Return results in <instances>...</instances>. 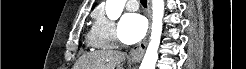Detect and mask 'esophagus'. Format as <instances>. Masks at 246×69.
Masks as SVG:
<instances>
[{
	"instance_id": "34e87169",
	"label": "esophagus",
	"mask_w": 246,
	"mask_h": 69,
	"mask_svg": "<svg viewBox=\"0 0 246 69\" xmlns=\"http://www.w3.org/2000/svg\"><path fill=\"white\" fill-rule=\"evenodd\" d=\"M148 3V17H149V31L150 33V27H151V20H152V13H151V0H147ZM148 39L146 38L142 43L138 44L137 46L133 47L130 51V60L132 62H137L141 60L143 57L146 45H147Z\"/></svg>"
}]
</instances>
